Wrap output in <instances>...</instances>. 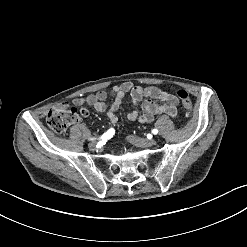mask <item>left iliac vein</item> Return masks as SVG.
I'll return each instance as SVG.
<instances>
[{"label":"left iliac vein","mask_w":247,"mask_h":247,"mask_svg":"<svg viewBox=\"0 0 247 247\" xmlns=\"http://www.w3.org/2000/svg\"><path fill=\"white\" fill-rule=\"evenodd\" d=\"M127 140L139 147H150L156 143L154 139L136 138L134 136H127Z\"/></svg>","instance_id":"left-iliac-vein-1"}]
</instances>
